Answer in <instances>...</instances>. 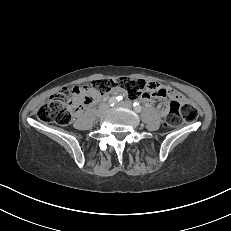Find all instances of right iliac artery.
I'll list each match as a JSON object with an SVG mask.
<instances>
[{"label": "right iliac artery", "instance_id": "obj_1", "mask_svg": "<svg viewBox=\"0 0 231 231\" xmlns=\"http://www.w3.org/2000/svg\"><path fill=\"white\" fill-rule=\"evenodd\" d=\"M122 99H123L122 96H114L109 99L108 103L110 106H114Z\"/></svg>", "mask_w": 231, "mask_h": 231}]
</instances>
